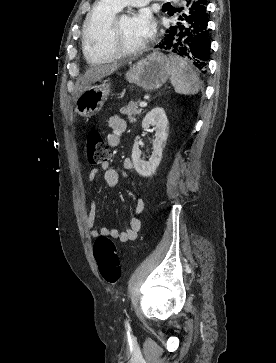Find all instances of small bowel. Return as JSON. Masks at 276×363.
<instances>
[{
    "label": "small bowel",
    "mask_w": 276,
    "mask_h": 363,
    "mask_svg": "<svg viewBox=\"0 0 276 363\" xmlns=\"http://www.w3.org/2000/svg\"><path fill=\"white\" fill-rule=\"evenodd\" d=\"M108 126L111 128L112 131L107 136V143L111 148H115L119 145L121 135L126 130L127 124L124 118L115 115L109 118ZM123 167L126 170H132V161L130 159H125L123 162ZM100 170L104 172L103 179L107 186L116 187L118 185V172L115 169L111 168L107 162L101 164L100 168H94L90 171L88 175L89 183L93 184L96 181ZM144 205V200L139 197L136 200L134 206L133 216L128 221L127 229L124 231H119L115 228L109 227H95L96 206L94 201H91L89 211L86 217V226L89 230V234L94 238L99 236H109L123 243L135 241L141 228V214L144 210Z\"/></svg>",
    "instance_id": "1"
}]
</instances>
